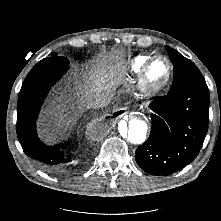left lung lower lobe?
Masks as SVG:
<instances>
[{
  "label": "left lung lower lobe",
  "instance_id": "1",
  "mask_svg": "<svg viewBox=\"0 0 221 221\" xmlns=\"http://www.w3.org/2000/svg\"><path fill=\"white\" fill-rule=\"evenodd\" d=\"M148 140L137 148L135 159L142 170L169 175L183 169L199 153L208 131L209 90L193 85L157 97Z\"/></svg>",
  "mask_w": 221,
  "mask_h": 221
}]
</instances>
